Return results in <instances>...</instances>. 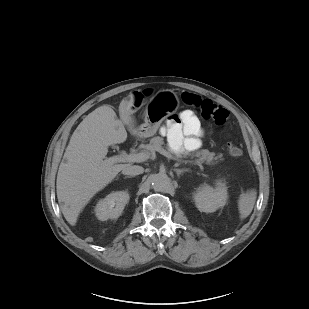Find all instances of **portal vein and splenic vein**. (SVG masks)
Here are the masks:
<instances>
[{
    "label": "portal vein and splenic vein",
    "mask_w": 309,
    "mask_h": 309,
    "mask_svg": "<svg viewBox=\"0 0 309 309\" xmlns=\"http://www.w3.org/2000/svg\"><path fill=\"white\" fill-rule=\"evenodd\" d=\"M158 152L166 157L169 158V154L164 149H159ZM149 158V154L146 152H139L137 154H126L122 153L119 155H115L112 157L107 158L103 161L106 165H113L120 162H142ZM198 166L202 167L200 162H195Z\"/></svg>",
    "instance_id": "portal-vein-and-splenic-vein-1"
}]
</instances>
